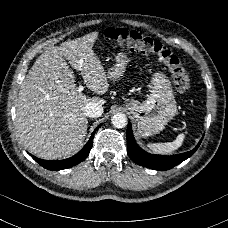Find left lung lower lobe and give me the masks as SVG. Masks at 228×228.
Masks as SVG:
<instances>
[{"mask_svg": "<svg viewBox=\"0 0 228 228\" xmlns=\"http://www.w3.org/2000/svg\"><path fill=\"white\" fill-rule=\"evenodd\" d=\"M202 139L197 144V146L189 152L172 156L154 155L147 153L137 145L133 137L131 123L129 122L127 127V152L129 157L136 164L154 170L165 171L173 168L174 166L178 165L179 163L183 162L184 160L192 156L200 146Z\"/></svg>", "mask_w": 228, "mask_h": 228, "instance_id": "obj_1", "label": "left lung lower lobe"}]
</instances>
